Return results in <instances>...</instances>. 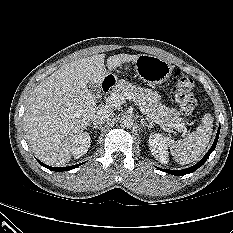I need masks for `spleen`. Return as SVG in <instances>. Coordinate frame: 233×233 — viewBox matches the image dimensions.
Returning <instances> with one entry per match:
<instances>
[{
    "mask_svg": "<svg viewBox=\"0 0 233 233\" xmlns=\"http://www.w3.org/2000/svg\"><path fill=\"white\" fill-rule=\"evenodd\" d=\"M213 131V117L207 113L202 118V123L197 130L188 134L185 138L174 141L165 138L171 154L179 164H189L196 161L205 151Z\"/></svg>",
    "mask_w": 233,
    "mask_h": 233,
    "instance_id": "obj_1",
    "label": "spleen"
}]
</instances>
